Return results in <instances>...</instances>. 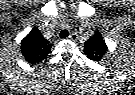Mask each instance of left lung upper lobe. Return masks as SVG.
<instances>
[{
  "label": "left lung upper lobe",
  "mask_w": 135,
  "mask_h": 95,
  "mask_svg": "<svg viewBox=\"0 0 135 95\" xmlns=\"http://www.w3.org/2000/svg\"><path fill=\"white\" fill-rule=\"evenodd\" d=\"M107 51L108 47L99 31H96L84 44L86 56L94 61H100Z\"/></svg>",
  "instance_id": "5c2ea615"
}]
</instances>
